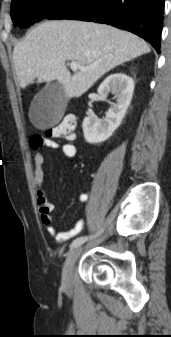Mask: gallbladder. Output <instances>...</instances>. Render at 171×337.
<instances>
[{
	"label": "gallbladder",
	"mask_w": 171,
	"mask_h": 337,
	"mask_svg": "<svg viewBox=\"0 0 171 337\" xmlns=\"http://www.w3.org/2000/svg\"><path fill=\"white\" fill-rule=\"evenodd\" d=\"M66 96L59 82H51L34 97L30 107L31 122L44 129L59 122L66 108Z\"/></svg>",
	"instance_id": "obj_1"
}]
</instances>
